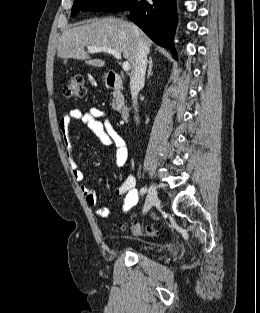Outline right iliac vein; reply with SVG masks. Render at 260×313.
<instances>
[{"label":"right iliac vein","instance_id":"right-iliac-vein-1","mask_svg":"<svg viewBox=\"0 0 260 313\" xmlns=\"http://www.w3.org/2000/svg\"><path fill=\"white\" fill-rule=\"evenodd\" d=\"M157 203H159L157 188L154 184H151L143 207V213H147Z\"/></svg>","mask_w":260,"mask_h":313}]
</instances>
